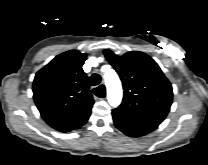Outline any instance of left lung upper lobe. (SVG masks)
Segmentation results:
<instances>
[{
  "instance_id": "5c2ea615",
  "label": "left lung upper lobe",
  "mask_w": 208,
  "mask_h": 165,
  "mask_svg": "<svg viewBox=\"0 0 208 165\" xmlns=\"http://www.w3.org/2000/svg\"><path fill=\"white\" fill-rule=\"evenodd\" d=\"M104 54L119 74L124 89L122 103L113 111L127 118L160 125L170 111L173 90L158 64L139 51L117 56L106 49Z\"/></svg>"
}]
</instances>
